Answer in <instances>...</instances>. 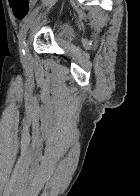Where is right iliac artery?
Masks as SVG:
<instances>
[{
    "label": "right iliac artery",
    "instance_id": "right-iliac-artery-1",
    "mask_svg": "<svg viewBox=\"0 0 140 196\" xmlns=\"http://www.w3.org/2000/svg\"><path fill=\"white\" fill-rule=\"evenodd\" d=\"M39 8H36L34 11H32V13L30 14V16L25 20L20 33H19V44H20V53L21 56H23L25 54V46H26V42H25V35L26 32L28 30V27L30 25L31 20L35 17V15L37 14Z\"/></svg>",
    "mask_w": 140,
    "mask_h": 196
}]
</instances>
